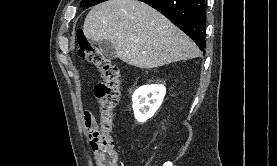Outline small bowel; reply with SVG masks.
<instances>
[{
	"instance_id": "obj_1",
	"label": "small bowel",
	"mask_w": 277,
	"mask_h": 166,
	"mask_svg": "<svg viewBox=\"0 0 277 166\" xmlns=\"http://www.w3.org/2000/svg\"><path fill=\"white\" fill-rule=\"evenodd\" d=\"M84 122H85V126L87 127L88 123L92 124L95 122V118L91 113H85Z\"/></svg>"
}]
</instances>
